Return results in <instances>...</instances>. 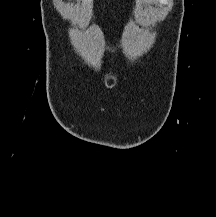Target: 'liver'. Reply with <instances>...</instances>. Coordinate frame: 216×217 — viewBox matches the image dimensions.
<instances>
[{
	"label": "liver",
	"mask_w": 216,
	"mask_h": 217,
	"mask_svg": "<svg viewBox=\"0 0 216 217\" xmlns=\"http://www.w3.org/2000/svg\"><path fill=\"white\" fill-rule=\"evenodd\" d=\"M144 2H149V0H143Z\"/></svg>",
	"instance_id": "1"
}]
</instances>
